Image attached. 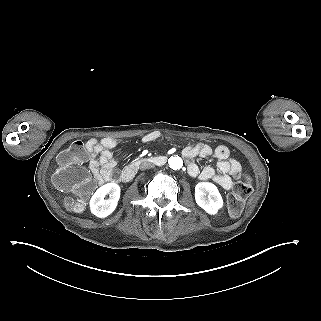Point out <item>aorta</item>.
<instances>
[{
    "label": "aorta",
    "instance_id": "aorta-1",
    "mask_svg": "<svg viewBox=\"0 0 321 321\" xmlns=\"http://www.w3.org/2000/svg\"><path fill=\"white\" fill-rule=\"evenodd\" d=\"M168 164H169L171 169L177 170V169H180L182 167L183 161L179 156H173V157L169 158Z\"/></svg>",
    "mask_w": 321,
    "mask_h": 321
}]
</instances>
